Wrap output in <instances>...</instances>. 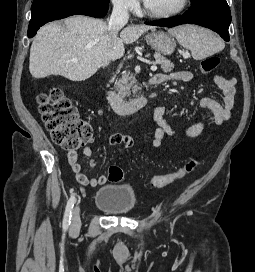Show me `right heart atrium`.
Wrapping results in <instances>:
<instances>
[{
  "instance_id": "right-heart-atrium-1",
  "label": "right heart atrium",
  "mask_w": 255,
  "mask_h": 272,
  "mask_svg": "<svg viewBox=\"0 0 255 272\" xmlns=\"http://www.w3.org/2000/svg\"><path fill=\"white\" fill-rule=\"evenodd\" d=\"M117 11L124 13L135 12L138 9L137 0H111Z\"/></svg>"
}]
</instances>
